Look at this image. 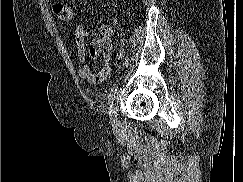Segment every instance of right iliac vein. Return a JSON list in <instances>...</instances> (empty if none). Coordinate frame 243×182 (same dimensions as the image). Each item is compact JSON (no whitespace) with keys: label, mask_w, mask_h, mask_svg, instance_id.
Returning <instances> with one entry per match:
<instances>
[{"label":"right iliac vein","mask_w":243,"mask_h":182,"mask_svg":"<svg viewBox=\"0 0 243 182\" xmlns=\"http://www.w3.org/2000/svg\"><path fill=\"white\" fill-rule=\"evenodd\" d=\"M110 110L111 112V121L112 124L115 126L117 124V118H116V110H115V106L112 104Z\"/></svg>","instance_id":"right-iliac-vein-1"}]
</instances>
